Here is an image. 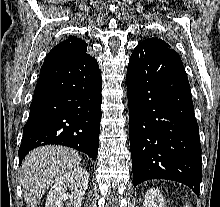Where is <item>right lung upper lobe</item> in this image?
<instances>
[{
  "instance_id": "1",
  "label": "right lung upper lobe",
  "mask_w": 220,
  "mask_h": 207,
  "mask_svg": "<svg viewBox=\"0 0 220 207\" xmlns=\"http://www.w3.org/2000/svg\"><path fill=\"white\" fill-rule=\"evenodd\" d=\"M87 43L77 37L70 36L57 44L46 56L45 61H55L75 57L86 53Z\"/></svg>"
}]
</instances>
